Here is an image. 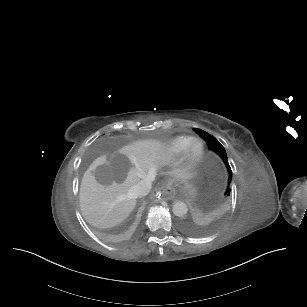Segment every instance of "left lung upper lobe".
I'll return each mask as SVG.
<instances>
[{
	"mask_svg": "<svg viewBox=\"0 0 307 307\" xmlns=\"http://www.w3.org/2000/svg\"><path fill=\"white\" fill-rule=\"evenodd\" d=\"M194 130H195L196 133H198L200 135L201 138H203L206 141L208 147L211 150L215 151L216 153H218L221 156V158L223 159V161L225 162V164L227 166V169H228V172H229V180H231L232 171H231V168L229 166L227 154H226L224 147L211 134H209V133H207V132H205L201 129H198V128H195ZM225 195H226V197H228L230 195V188L229 187L227 188Z\"/></svg>",
	"mask_w": 307,
	"mask_h": 307,
	"instance_id": "obj_1",
	"label": "left lung upper lobe"
}]
</instances>
